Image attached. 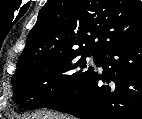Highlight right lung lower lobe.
I'll return each mask as SVG.
<instances>
[{
	"instance_id": "1",
	"label": "right lung lower lobe",
	"mask_w": 142,
	"mask_h": 119,
	"mask_svg": "<svg viewBox=\"0 0 142 119\" xmlns=\"http://www.w3.org/2000/svg\"><path fill=\"white\" fill-rule=\"evenodd\" d=\"M96 65L101 73L48 108L81 119H142V39L101 53Z\"/></svg>"
}]
</instances>
